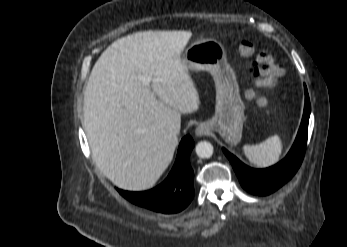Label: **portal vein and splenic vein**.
Segmentation results:
<instances>
[{"label": "portal vein and splenic vein", "instance_id": "portal-vein-and-splenic-vein-1", "mask_svg": "<svg viewBox=\"0 0 347 247\" xmlns=\"http://www.w3.org/2000/svg\"><path fill=\"white\" fill-rule=\"evenodd\" d=\"M139 78H140V80H141L143 83H145V84H148L149 81H150L148 78H146V77H144V76H142V75H139Z\"/></svg>", "mask_w": 347, "mask_h": 247}]
</instances>
